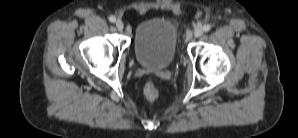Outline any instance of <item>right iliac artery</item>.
<instances>
[{
    "mask_svg": "<svg viewBox=\"0 0 298 138\" xmlns=\"http://www.w3.org/2000/svg\"><path fill=\"white\" fill-rule=\"evenodd\" d=\"M109 21L112 22V23L115 22V21H116L115 16H110V17H109Z\"/></svg>",
    "mask_w": 298,
    "mask_h": 138,
    "instance_id": "obj_1",
    "label": "right iliac artery"
}]
</instances>
